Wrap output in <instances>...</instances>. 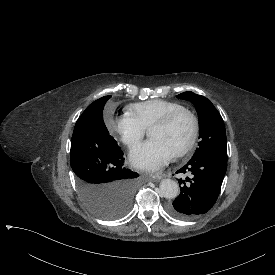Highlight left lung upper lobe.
I'll return each mask as SVG.
<instances>
[{
	"instance_id": "left-lung-upper-lobe-1",
	"label": "left lung upper lobe",
	"mask_w": 275,
	"mask_h": 275,
	"mask_svg": "<svg viewBox=\"0 0 275 275\" xmlns=\"http://www.w3.org/2000/svg\"><path fill=\"white\" fill-rule=\"evenodd\" d=\"M177 97L191 101L199 116L201 141L192 159L213 152L227 153L224 122L214 105L207 98L190 91L183 92Z\"/></svg>"
}]
</instances>
